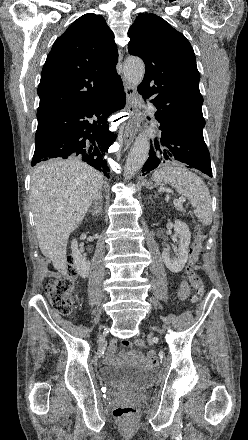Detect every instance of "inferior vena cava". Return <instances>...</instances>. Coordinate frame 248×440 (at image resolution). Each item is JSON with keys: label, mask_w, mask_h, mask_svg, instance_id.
Wrapping results in <instances>:
<instances>
[{"label": "inferior vena cava", "mask_w": 248, "mask_h": 440, "mask_svg": "<svg viewBox=\"0 0 248 440\" xmlns=\"http://www.w3.org/2000/svg\"><path fill=\"white\" fill-rule=\"evenodd\" d=\"M101 198H102V194H101V192L99 191V192L95 195V199H96V200H101ZM97 204H98V203L95 202V206H96Z\"/></svg>", "instance_id": "inferior-vena-cava-1"}]
</instances>
